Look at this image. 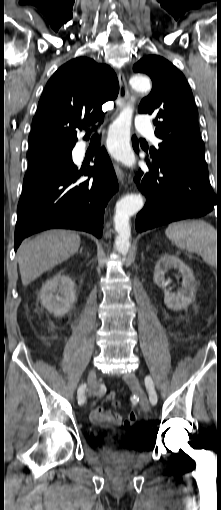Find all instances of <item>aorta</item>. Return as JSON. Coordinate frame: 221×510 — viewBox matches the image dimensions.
<instances>
[{
	"mask_svg": "<svg viewBox=\"0 0 221 510\" xmlns=\"http://www.w3.org/2000/svg\"><path fill=\"white\" fill-rule=\"evenodd\" d=\"M131 87L137 92L150 90V81L146 76L134 75L130 79ZM133 108L128 105L111 125L108 134V149L111 155L127 167L135 164V155L130 147V128ZM144 201L141 195L128 194L116 203L114 225L117 232L115 241L116 250L125 255L130 249V217L142 209Z\"/></svg>",
	"mask_w": 221,
	"mask_h": 510,
	"instance_id": "obj_1",
	"label": "aorta"
}]
</instances>
